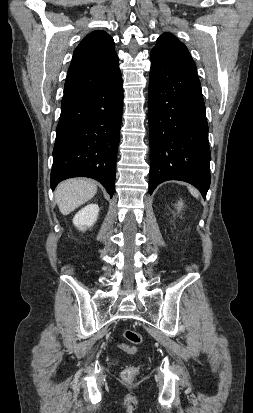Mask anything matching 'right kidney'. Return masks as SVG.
<instances>
[{
    "mask_svg": "<svg viewBox=\"0 0 253 413\" xmlns=\"http://www.w3.org/2000/svg\"><path fill=\"white\" fill-rule=\"evenodd\" d=\"M99 214V207L97 204H89L82 208L73 218V224L79 230H86L94 225Z\"/></svg>",
    "mask_w": 253,
    "mask_h": 413,
    "instance_id": "obj_1",
    "label": "right kidney"
}]
</instances>
